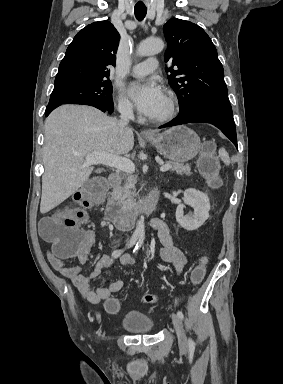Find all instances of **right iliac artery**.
<instances>
[{"label":"right iliac artery","mask_w":283,"mask_h":384,"mask_svg":"<svg viewBox=\"0 0 283 384\" xmlns=\"http://www.w3.org/2000/svg\"><path fill=\"white\" fill-rule=\"evenodd\" d=\"M137 240H138V236L137 235H133L131 237L130 241H129V244H128L127 248L133 247L136 244ZM123 252H124V249L114 250L112 252V256H113V258H118Z\"/></svg>","instance_id":"right-iliac-artery-1"}]
</instances>
